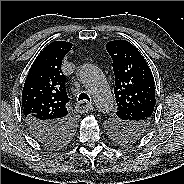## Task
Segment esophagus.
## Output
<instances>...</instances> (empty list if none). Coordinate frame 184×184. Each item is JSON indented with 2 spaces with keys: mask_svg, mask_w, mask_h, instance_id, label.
Here are the masks:
<instances>
[{
  "mask_svg": "<svg viewBox=\"0 0 184 184\" xmlns=\"http://www.w3.org/2000/svg\"><path fill=\"white\" fill-rule=\"evenodd\" d=\"M76 104H77V110L81 113L89 112V111H92L94 109L93 105H91L87 101H80V102H77Z\"/></svg>",
  "mask_w": 184,
  "mask_h": 184,
  "instance_id": "1",
  "label": "esophagus"
}]
</instances>
